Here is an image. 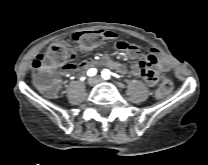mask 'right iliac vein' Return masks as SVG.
<instances>
[{"label":"right iliac vein","mask_w":208,"mask_h":165,"mask_svg":"<svg viewBox=\"0 0 208 165\" xmlns=\"http://www.w3.org/2000/svg\"><path fill=\"white\" fill-rule=\"evenodd\" d=\"M88 85L89 86H95L97 84V80L96 78H89L88 81H87Z\"/></svg>","instance_id":"1"}]
</instances>
